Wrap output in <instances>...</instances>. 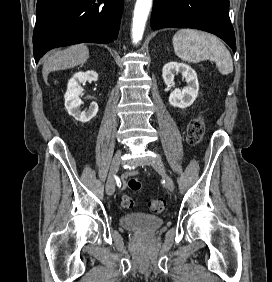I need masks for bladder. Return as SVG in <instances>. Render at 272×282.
Here are the masks:
<instances>
[{"label": "bladder", "mask_w": 272, "mask_h": 282, "mask_svg": "<svg viewBox=\"0 0 272 282\" xmlns=\"http://www.w3.org/2000/svg\"><path fill=\"white\" fill-rule=\"evenodd\" d=\"M119 222L122 227L128 230L142 234H150L162 226L163 219L154 215L132 213L120 217Z\"/></svg>", "instance_id": "obj_1"}]
</instances>
